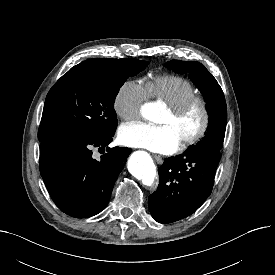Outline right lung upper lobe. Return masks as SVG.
Instances as JSON below:
<instances>
[{"mask_svg":"<svg viewBox=\"0 0 275 275\" xmlns=\"http://www.w3.org/2000/svg\"><path fill=\"white\" fill-rule=\"evenodd\" d=\"M95 60L100 61V62H107V61H109L110 59L98 58V59H95Z\"/></svg>","mask_w":275,"mask_h":275,"instance_id":"1","label":"right lung upper lobe"}]
</instances>
